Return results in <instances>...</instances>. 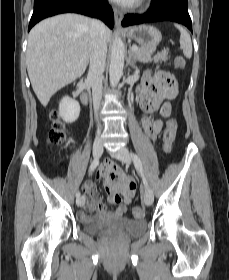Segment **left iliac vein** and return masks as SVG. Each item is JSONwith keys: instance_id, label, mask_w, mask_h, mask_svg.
<instances>
[{"instance_id": "4c4485c4", "label": "left iliac vein", "mask_w": 229, "mask_h": 280, "mask_svg": "<svg viewBox=\"0 0 229 280\" xmlns=\"http://www.w3.org/2000/svg\"><path fill=\"white\" fill-rule=\"evenodd\" d=\"M112 155L116 159H118L126 164L131 163V156H130L129 150L125 147L120 148L117 152L112 153ZM143 200L147 206L152 205L154 197H153V192L150 187L145 188Z\"/></svg>"}]
</instances>
